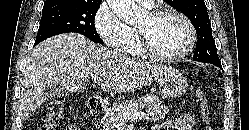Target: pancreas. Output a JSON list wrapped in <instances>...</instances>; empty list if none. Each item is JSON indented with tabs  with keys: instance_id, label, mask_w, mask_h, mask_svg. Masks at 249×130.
Wrapping results in <instances>:
<instances>
[{
	"instance_id": "pancreas-1",
	"label": "pancreas",
	"mask_w": 249,
	"mask_h": 130,
	"mask_svg": "<svg viewBox=\"0 0 249 130\" xmlns=\"http://www.w3.org/2000/svg\"><path fill=\"white\" fill-rule=\"evenodd\" d=\"M140 109H145L148 119L157 122L163 120L169 112V108L165 107L157 96L149 94L141 98H133L105 109V115L101 119L103 130H118L122 123L118 117L119 113H134Z\"/></svg>"
}]
</instances>
